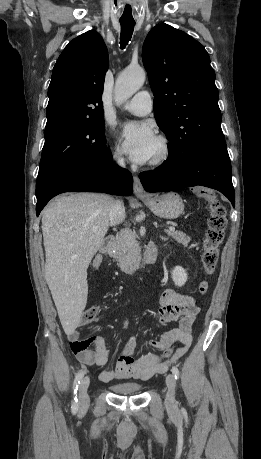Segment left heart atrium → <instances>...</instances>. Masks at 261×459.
I'll return each mask as SVG.
<instances>
[{
    "label": "left heart atrium",
    "mask_w": 261,
    "mask_h": 459,
    "mask_svg": "<svg viewBox=\"0 0 261 459\" xmlns=\"http://www.w3.org/2000/svg\"><path fill=\"white\" fill-rule=\"evenodd\" d=\"M123 147L130 159L138 164L146 163L152 156L157 137L148 123L130 122L122 131Z\"/></svg>",
    "instance_id": "left-heart-atrium-1"
}]
</instances>
